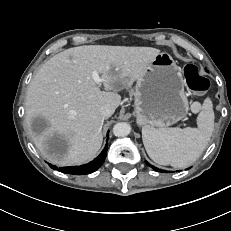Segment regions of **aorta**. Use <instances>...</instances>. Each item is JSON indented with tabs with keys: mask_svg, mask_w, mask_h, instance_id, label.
Segmentation results:
<instances>
[{
	"mask_svg": "<svg viewBox=\"0 0 231 231\" xmlns=\"http://www.w3.org/2000/svg\"><path fill=\"white\" fill-rule=\"evenodd\" d=\"M131 131V126L126 122L116 123L113 127V134L117 137H125Z\"/></svg>",
	"mask_w": 231,
	"mask_h": 231,
	"instance_id": "1",
	"label": "aorta"
}]
</instances>
